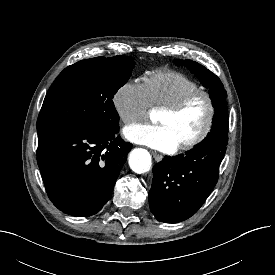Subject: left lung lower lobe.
<instances>
[{
	"mask_svg": "<svg viewBox=\"0 0 275 275\" xmlns=\"http://www.w3.org/2000/svg\"><path fill=\"white\" fill-rule=\"evenodd\" d=\"M226 145L200 143L186 154L165 156L153 167L150 210L165 223L184 221L195 214L218 180Z\"/></svg>",
	"mask_w": 275,
	"mask_h": 275,
	"instance_id": "left-lung-lower-lobe-1",
	"label": "left lung lower lobe"
}]
</instances>
